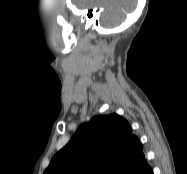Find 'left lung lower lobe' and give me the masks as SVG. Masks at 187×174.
<instances>
[{
    "instance_id": "obj_1",
    "label": "left lung lower lobe",
    "mask_w": 187,
    "mask_h": 174,
    "mask_svg": "<svg viewBox=\"0 0 187 174\" xmlns=\"http://www.w3.org/2000/svg\"><path fill=\"white\" fill-rule=\"evenodd\" d=\"M131 174H153L151 167L147 164L143 167H139V164L131 172Z\"/></svg>"
}]
</instances>
